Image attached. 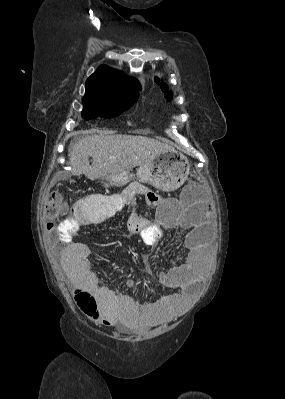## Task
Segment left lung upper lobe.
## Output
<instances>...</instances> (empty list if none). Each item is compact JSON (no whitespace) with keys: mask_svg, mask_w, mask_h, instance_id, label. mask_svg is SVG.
Wrapping results in <instances>:
<instances>
[{"mask_svg":"<svg viewBox=\"0 0 285 399\" xmlns=\"http://www.w3.org/2000/svg\"><path fill=\"white\" fill-rule=\"evenodd\" d=\"M155 82L161 86V89L163 92H165L164 96L169 100L172 96V94L168 91V87L165 83H160V80L155 77Z\"/></svg>","mask_w":285,"mask_h":399,"instance_id":"5c2ea615","label":"left lung upper lobe"}]
</instances>
